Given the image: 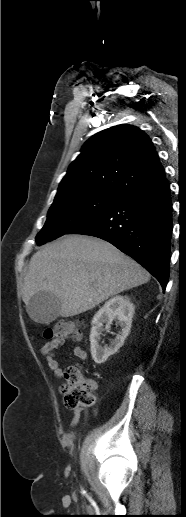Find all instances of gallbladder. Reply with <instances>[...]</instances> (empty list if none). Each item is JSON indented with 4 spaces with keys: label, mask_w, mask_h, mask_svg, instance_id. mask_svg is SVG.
I'll return each instance as SVG.
<instances>
[{
    "label": "gallbladder",
    "mask_w": 186,
    "mask_h": 517,
    "mask_svg": "<svg viewBox=\"0 0 186 517\" xmlns=\"http://www.w3.org/2000/svg\"><path fill=\"white\" fill-rule=\"evenodd\" d=\"M29 316L36 322L48 324L59 316V299L47 292L35 294L26 306Z\"/></svg>",
    "instance_id": "bac80fb5"
}]
</instances>
